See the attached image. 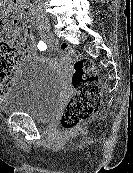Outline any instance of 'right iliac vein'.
<instances>
[{
	"instance_id": "1",
	"label": "right iliac vein",
	"mask_w": 133,
	"mask_h": 173,
	"mask_svg": "<svg viewBox=\"0 0 133 173\" xmlns=\"http://www.w3.org/2000/svg\"><path fill=\"white\" fill-rule=\"evenodd\" d=\"M36 16L40 19V21H41L42 25L45 27L46 31L49 32L50 25H49V20L46 17V15H44L41 11H37Z\"/></svg>"
}]
</instances>
